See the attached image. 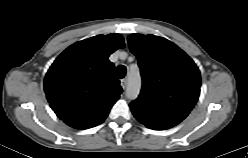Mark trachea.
Wrapping results in <instances>:
<instances>
[{
    "instance_id": "1",
    "label": "trachea",
    "mask_w": 248,
    "mask_h": 158,
    "mask_svg": "<svg viewBox=\"0 0 248 158\" xmlns=\"http://www.w3.org/2000/svg\"><path fill=\"white\" fill-rule=\"evenodd\" d=\"M116 74L119 79H122L126 75V67L124 65H119L116 69Z\"/></svg>"
}]
</instances>
